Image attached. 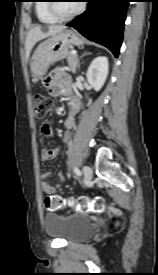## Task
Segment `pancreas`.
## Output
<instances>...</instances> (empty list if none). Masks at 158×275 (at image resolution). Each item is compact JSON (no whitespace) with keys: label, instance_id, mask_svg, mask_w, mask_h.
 I'll list each match as a JSON object with an SVG mask.
<instances>
[{"label":"pancreas","instance_id":"obj_1","mask_svg":"<svg viewBox=\"0 0 158 275\" xmlns=\"http://www.w3.org/2000/svg\"><path fill=\"white\" fill-rule=\"evenodd\" d=\"M67 62H68L69 69L74 73L79 64L77 55H73L71 52H69L67 56Z\"/></svg>","mask_w":158,"mask_h":275}]
</instances>
